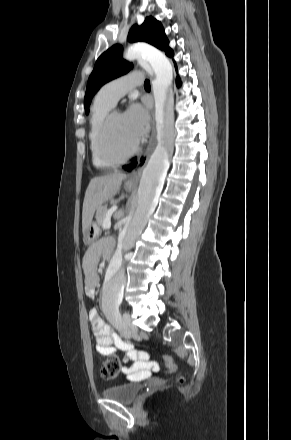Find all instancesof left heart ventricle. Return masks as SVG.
<instances>
[{"mask_svg":"<svg viewBox=\"0 0 291 440\" xmlns=\"http://www.w3.org/2000/svg\"><path fill=\"white\" fill-rule=\"evenodd\" d=\"M108 140L112 150L119 154L126 153L137 143L123 114L113 118Z\"/></svg>","mask_w":291,"mask_h":440,"instance_id":"1","label":"left heart ventricle"}]
</instances>
